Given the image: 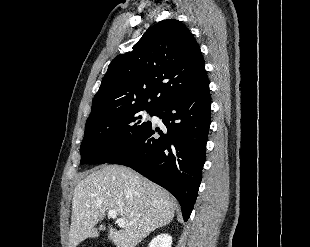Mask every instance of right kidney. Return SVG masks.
Returning a JSON list of instances; mask_svg holds the SVG:
<instances>
[{"mask_svg": "<svg viewBox=\"0 0 310 247\" xmlns=\"http://www.w3.org/2000/svg\"><path fill=\"white\" fill-rule=\"evenodd\" d=\"M172 237L169 234H160L156 236L149 244V247H171Z\"/></svg>", "mask_w": 310, "mask_h": 247, "instance_id": "1", "label": "right kidney"}]
</instances>
